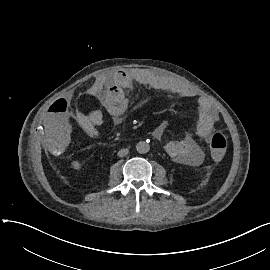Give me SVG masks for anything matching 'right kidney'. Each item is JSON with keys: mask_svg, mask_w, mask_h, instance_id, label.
I'll list each match as a JSON object with an SVG mask.
<instances>
[{"mask_svg": "<svg viewBox=\"0 0 270 270\" xmlns=\"http://www.w3.org/2000/svg\"><path fill=\"white\" fill-rule=\"evenodd\" d=\"M71 168L74 169V170H76V171H80L82 169V166H81L79 160H77V159L76 160H73L71 162Z\"/></svg>", "mask_w": 270, "mask_h": 270, "instance_id": "ca27d5eb", "label": "right kidney"}]
</instances>
